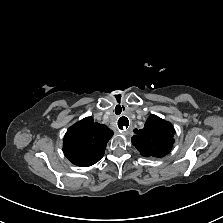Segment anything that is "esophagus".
<instances>
[{"label":"esophagus","mask_w":223,"mask_h":223,"mask_svg":"<svg viewBox=\"0 0 223 223\" xmlns=\"http://www.w3.org/2000/svg\"><path fill=\"white\" fill-rule=\"evenodd\" d=\"M117 127L120 131L127 132L131 129L132 122L129 118L123 116L118 120Z\"/></svg>","instance_id":"esophagus-1"}]
</instances>
